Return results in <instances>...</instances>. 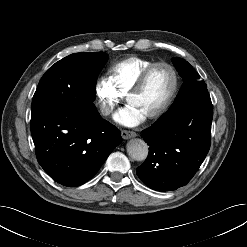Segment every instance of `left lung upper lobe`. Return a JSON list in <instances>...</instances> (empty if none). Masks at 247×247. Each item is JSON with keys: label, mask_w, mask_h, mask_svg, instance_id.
<instances>
[{"label": "left lung upper lobe", "mask_w": 247, "mask_h": 247, "mask_svg": "<svg viewBox=\"0 0 247 247\" xmlns=\"http://www.w3.org/2000/svg\"><path fill=\"white\" fill-rule=\"evenodd\" d=\"M179 75L184 79V84L180 89V92L174 101V104L169 110H174L177 107L183 105L191 97L201 90L207 89L204 81L200 80V75L192 68V66L182 58L174 57L172 59ZM168 110V111H169Z\"/></svg>", "instance_id": "1"}]
</instances>
